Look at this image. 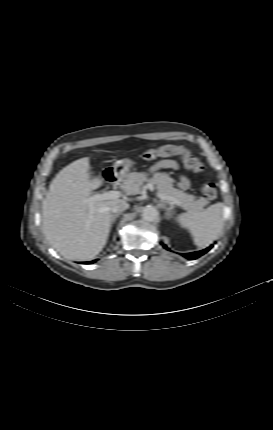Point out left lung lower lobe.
Instances as JSON below:
<instances>
[{
    "label": "left lung lower lobe",
    "instance_id": "left-lung-lower-lobe-1",
    "mask_svg": "<svg viewBox=\"0 0 273 430\" xmlns=\"http://www.w3.org/2000/svg\"><path fill=\"white\" fill-rule=\"evenodd\" d=\"M163 247L167 248L166 245H163ZM211 247L212 246H210V247H208V248H206L204 250H201V251H196V252H191V253H184V254H181V255L184 256L187 259H191V260L197 259L200 256H202L203 254H205L206 252H208L211 249Z\"/></svg>",
    "mask_w": 273,
    "mask_h": 430
}]
</instances>
